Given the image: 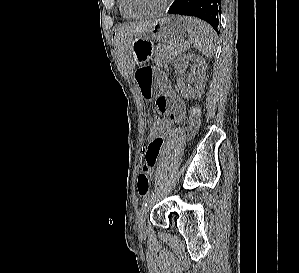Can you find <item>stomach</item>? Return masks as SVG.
I'll return each mask as SVG.
<instances>
[{
    "instance_id": "stomach-1",
    "label": "stomach",
    "mask_w": 299,
    "mask_h": 273,
    "mask_svg": "<svg viewBox=\"0 0 299 273\" xmlns=\"http://www.w3.org/2000/svg\"><path fill=\"white\" fill-rule=\"evenodd\" d=\"M187 31L184 17L165 16L158 19L152 30L144 37L137 38L132 43L133 64H148L154 43L157 40L163 43H173L181 39ZM135 81L145 101H156L154 95L165 85V74L152 67H135Z\"/></svg>"
}]
</instances>
